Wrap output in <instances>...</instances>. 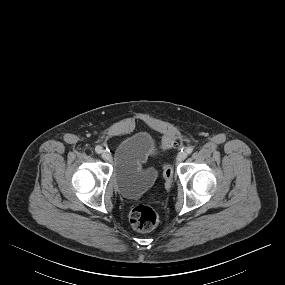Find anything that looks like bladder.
I'll list each match as a JSON object with an SVG mask.
<instances>
[{"label":"bladder","instance_id":"obj_1","mask_svg":"<svg viewBox=\"0 0 285 285\" xmlns=\"http://www.w3.org/2000/svg\"><path fill=\"white\" fill-rule=\"evenodd\" d=\"M156 146L157 139L144 130L135 131L118 141L112 155V182L122 197L137 198L154 185L157 171L144 167V163Z\"/></svg>","mask_w":285,"mask_h":285}]
</instances>
